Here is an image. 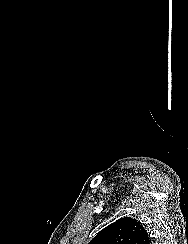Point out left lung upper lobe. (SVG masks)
<instances>
[{"instance_id":"obj_1","label":"left lung upper lobe","mask_w":188,"mask_h":244,"mask_svg":"<svg viewBox=\"0 0 188 244\" xmlns=\"http://www.w3.org/2000/svg\"><path fill=\"white\" fill-rule=\"evenodd\" d=\"M89 244H150V238L137 220L124 217L101 230Z\"/></svg>"}]
</instances>
